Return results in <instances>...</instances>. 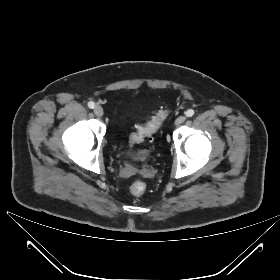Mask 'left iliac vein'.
<instances>
[{"mask_svg":"<svg viewBox=\"0 0 280 280\" xmlns=\"http://www.w3.org/2000/svg\"><path fill=\"white\" fill-rule=\"evenodd\" d=\"M185 120H186V116L181 115L175 120V125L179 126V125L183 124L185 122Z\"/></svg>","mask_w":280,"mask_h":280,"instance_id":"left-iliac-vein-1","label":"left iliac vein"}]
</instances>
